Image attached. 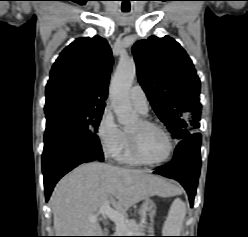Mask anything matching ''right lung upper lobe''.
Wrapping results in <instances>:
<instances>
[{
  "mask_svg": "<svg viewBox=\"0 0 248 237\" xmlns=\"http://www.w3.org/2000/svg\"><path fill=\"white\" fill-rule=\"evenodd\" d=\"M112 64L111 49L105 39H76L61 52L51 69L46 101L77 98L104 103Z\"/></svg>",
  "mask_w": 248,
  "mask_h": 237,
  "instance_id": "right-lung-upper-lobe-1",
  "label": "right lung upper lobe"
}]
</instances>
